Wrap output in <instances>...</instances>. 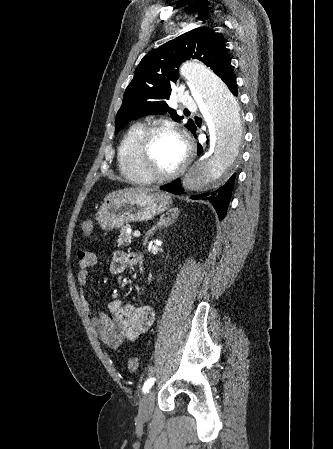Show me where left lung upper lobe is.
Masks as SVG:
<instances>
[{"mask_svg":"<svg viewBox=\"0 0 333 449\" xmlns=\"http://www.w3.org/2000/svg\"><path fill=\"white\" fill-rule=\"evenodd\" d=\"M196 58L210 67L222 80L232 71L225 41L211 29L200 27L186 32L147 54L135 70L115 120V133L129 121L169 111L175 120L183 119L169 109L166 100L175 89L178 67L186 59ZM196 130L192 120L185 124Z\"/></svg>","mask_w":333,"mask_h":449,"instance_id":"1","label":"left lung upper lobe"}]
</instances>
